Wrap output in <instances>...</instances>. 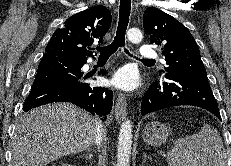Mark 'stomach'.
<instances>
[{
  "label": "stomach",
  "mask_w": 231,
  "mask_h": 166,
  "mask_svg": "<svg viewBox=\"0 0 231 166\" xmlns=\"http://www.w3.org/2000/svg\"><path fill=\"white\" fill-rule=\"evenodd\" d=\"M169 135V128L159 121H154L146 125L142 132L143 141L152 146L164 144Z\"/></svg>",
  "instance_id": "1"
}]
</instances>
